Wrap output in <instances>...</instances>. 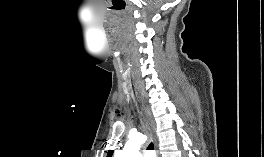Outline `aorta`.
Wrapping results in <instances>:
<instances>
[{"mask_svg":"<svg viewBox=\"0 0 264 157\" xmlns=\"http://www.w3.org/2000/svg\"><path fill=\"white\" fill-rule=\"evenodd\" d=\"M145 136L138 134L130 138L122 150L116 152V157H138L141 145L145 142Z\"/></svg>","mask_w":264,"mask_h":157,"instance_id":"obj_1","label":"aorta"}]
</instances>
